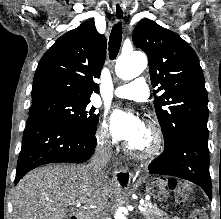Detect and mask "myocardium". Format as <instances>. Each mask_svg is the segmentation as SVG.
Masks as SVG:
<instances>
[{"label": "myocardium", "instance_id": "obj_1", "mask_svg": "<svg viewBox=\"0 0 221 219\" xmlns=\"http://www.w3.org/2000/svg\"><path fill=\"white\" fill-rule=\"evenodd\" d=\"M144 129L148 133L149 141L146 147L137 148L130 142L124 144L125 151L137 158H151L159 154L163 148L164 137L162 130L154 123L148 122L145 124Z\"/></svg>", "mask_w": 221, "mask_h": 219}]
</instances>
